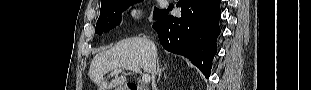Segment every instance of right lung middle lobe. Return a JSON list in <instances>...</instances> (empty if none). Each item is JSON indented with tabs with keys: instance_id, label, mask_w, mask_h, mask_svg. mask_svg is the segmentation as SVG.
Returning a JSON list of instances; mask_svg holds the SVG:
<instances>
[{
	"instance_id": "right-lung-middle-lobe-1",
	"label": "right lung middle lobe",
	"mask_w": 311,
	"mask_h": 90,
	"mask_svg": "<svg viewBox=\"0 0 311 90\" xmlns=\"http://www.w3.org/2000/svg\"><path fill=\"white\" fill-rule=\"evenodd\" d=\"M138 1L140 0H108L102 3L95 33L101 35L102 32H108L116 25H119L121 22V13ZM163 12L164 10L155 8L154 18L158 19Z\"/></svg>"
}]
</instances>
